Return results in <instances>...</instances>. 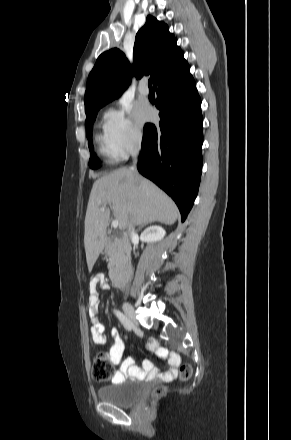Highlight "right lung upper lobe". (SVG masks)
Masks as SVG:
<instances>
[{
	"label": "right lung upper lobe",
	"instance_id": "cb5924a9",
	"mask_svg": "<svg viewBox=\"0 0 291 440\" xmlns=\"http://www.w3.org/2000/svg\"><path fill=\"white\" fill-rule=\"evenodd\" d=\"M176 42L177 39L164 22L148 15L145 25L136 34L133 66L117 48L98 57L87 80L84 99L86 113L118 98L129 86L133 74L137 78L150 74L155 87L188 66Z\"/></svg>",
	"mask_w": 291,
	"mask_h": 440
}]
</instances>
